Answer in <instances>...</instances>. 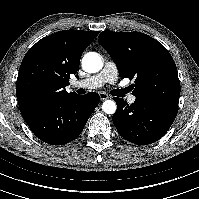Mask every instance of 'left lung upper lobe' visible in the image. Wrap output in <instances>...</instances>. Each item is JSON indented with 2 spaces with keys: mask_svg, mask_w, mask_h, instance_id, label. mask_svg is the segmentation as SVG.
<instances>
[{
  "mask_svg": "<svg viewBox=\"0 0 199 199\" xmlns=\"http://www.w3.org/2000/svg\"><path fill=\"white\" fill-rule=\"evenodd\" d=\"M98 38L116 63L120 76L135 80L133 95L178 108L177 68L162 44L141 32L103 31Z\"/></svg>",
  "mask_w": 199,
  "mask_h": 199,
  "instance_id": "5c2ea615",
  "label": "left lung upper lobe"
}]
</instances>
